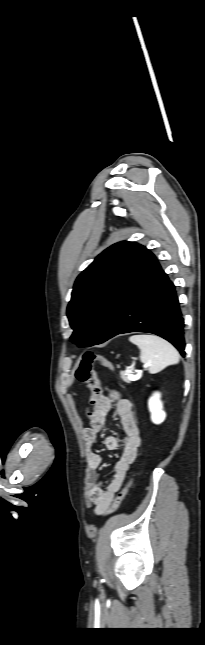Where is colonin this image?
I'll use <instances>...</instances> for the list:
<instances>
[{
  "label": "colon",
  "mask_w": 205,
  "mask_h": 645,
  "mask_svg": "<svg viewBox=\"0 0 205 645\" xmlns=\"http://www.w3.org/2000/svg\"><path fill=\"white\" fill-rule=\"evenodd\" d=\"M95 364L102 365L111 370L114 369V365L110 360L106 359L103 356L97 355L93 352H86L80 359L77 365V368L75 370V377L78 381H80L81 383H84L91 391V397L89 399V408L87 410L88 414H90V408L96 404L101 394V383L97 376L96 371L94 370ZM131 483H132V478H130V480L127 482L125 487L118 492V494L112 501L110 507L104 513L106 516L111 515L117 511L123 499L125 498L131 486Z\"/></svg>",
  "instance_id": "1"
}]
</instances>
